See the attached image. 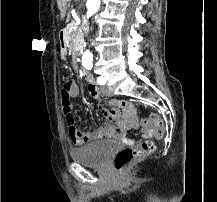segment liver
I'll return each instance as SVG.
<instances>
[{
  "label": "liver",
  "instance_id": "obj_1",
  "mask_svg": "<svg viewBox=\"0 0 217 202\" xmlns=\"http://www.w3.org/2000/svg\"><path fill=\"white\" fill-rule=\"evenodd\" d=\"M68 2H71V0H57L58 8L60 10V20H64L66 16V6ZM68 18H70V14H68Z\"/></svg>",
  "mask_w": 217,
  "mask_h": 202
}]
</instances>
